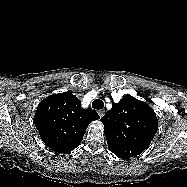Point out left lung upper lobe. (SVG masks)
<instances>
[{"mask_svg": "<svg viewBox=\"0 0 187 187\" xmlns=\"http://www.w3.org/2000/svg\"><path fill=\"white\" fill-rule=\"evenodd\" d=\"M108 147L117 157L129 159L149 147L158 130L154 110L145 102L125 95L101 118Z\"/></svg>", "mask_w": 187, "mask_h": 187, "instance_id": "obj_1", "label": "left lung upper lobe"}]
</instances>
